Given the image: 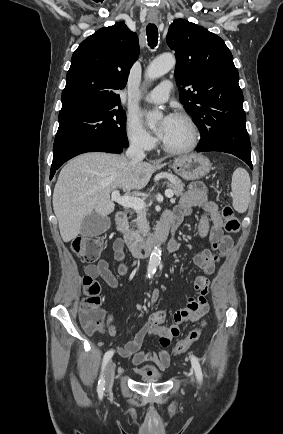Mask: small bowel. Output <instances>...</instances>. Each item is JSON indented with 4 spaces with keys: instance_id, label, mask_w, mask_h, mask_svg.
<instances>
[{
    "instance_id": "1",
    "label": "small bowel",
    "mask_w": 283,
    "mask_h": 434,
    "mask_svg": "<svg viewBox=\"0 0 283 434\" xmlns=\"http://www.w3.org/2000/svg\"><path fill=\"white\" fill-rule=\"evenodd\" d=\"M195 208L202 212L198 231L202 238L208 237L211 242V249H206L194 257V263L205 275H211L215 271L216 263L225 256L233 245L230 235L223 232V221L215 202L208 199L207 191L201 183H193L181 197L179 203L166 213L163 220L169 221L174 228L178 227L185 217L192 214ZM170 251L176 253L180 245L176 241L170 243ZM114 258L119 263L117 272L124 276L128 272L125 263L124 241L121 238L115 239L113 243ZM86 275L93 278H102L111 288H118L119 282L109 268L106 259H100L97 263L88 265L85 268ZM194 288L198 295L190 297L187 305L173 314V323L165 326L166 314L162 311L150 315L148 322L138 329L131 340L117 348V354L122 358H131L136 369L143 367L146 362L154 363L159 369L164 370L170 364V355L166 351L171 340L179 335L180 327L186 322H195L209 311L207 295L210 289V282L206 276H198L194 281ZM159 297L158 291L151 296V304L154 305ZM113 316L106 314L105 327L112 338L118 336L114 325ZM103 331V327L98 329ZM154 334L159 337L161 350L157 353L145 352L142 350L144 339L147 335Z\"/></svg>"
}]
</instances>
